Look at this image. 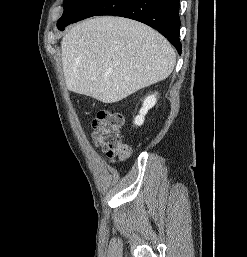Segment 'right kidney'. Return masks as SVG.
Masks as SVG:
<instances>
[{
	"mask_svg": "<svg viewBox=\"0 0 247 257\" xmlns=\"http://www.w3.org/2000/svg\"><path fill=\"white\" fill-rule=\"evenodd\" d=\"M157 102L156 94L149 95L145 98L143 106L140 109L139 115L136 116L134 124L141 126L144 122V117L147 114L148 110L151 109Z\"/></svg>",
	"mask_w": 247,
	"mask_h": 257,
	"instance_id": "obj_1",
	"label": "right kidney"
}]
</instances>
